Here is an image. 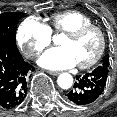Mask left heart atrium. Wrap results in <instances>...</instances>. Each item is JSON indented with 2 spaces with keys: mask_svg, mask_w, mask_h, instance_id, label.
Instances as JSON below:
<instances>
[{
  "mask_svg": "<svg viewBox=\"0 0 117 117\" xmlns=\"http://www.w3.org/2000/svg\"><path fill=\"white\" fill-rule=\"evenodd\" d=\"M38 64L46 69H66L74 67L77 62L67 47H55L47 50L38 60Z\"/></svg>",
  "mask_w": 117,
  "mask_h": 117,
  "instance_id": "1",
  "label": "left heart atrium"
}]
</instances>
